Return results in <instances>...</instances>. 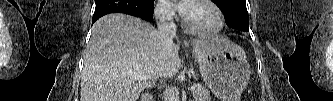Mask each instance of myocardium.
<instances>
[{"label":"myocardium","instance_id":"1","mask_svg":"<svg viewBox=\"0 0 333 101\" xmlns=\"http://www.w3.org/2000/svg\"><path fill=\"white\" fill-rule=\"evenodd\" d=\"M192 2H201V3H204V4L208 5L209 7H211L217 16V25L211 31H198V30L191 28L188 25V23L184 17V14H182V17H181L182 28L186 32H188L192 35L198 36V37H210V36H214V35H217L218 33H220L224 27V17H223V13L220 10V8L214 2H212L210 0H196V1H192Z\"/></svg>","mask_w":333,"mask_h":101}]
</instances>
